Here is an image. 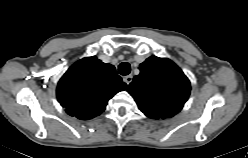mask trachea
<instances>
[{
  "instance_id": "3493384b",
  "label": "trachea",
  "mask_w": 248,
  "mask_h": 158,
  "mask_svg": "<svg viewBox=\"0 0 248 158\" xmlns=\"http://www.w3.org/2000/svg\"><path fill=\"white\" fill-rule=\"evenodd\" d=\"M118 71L123 76L128 75L131 71L130 64L127 62L121 63L118 67Z\"/></svg>"
}]
</instances>
